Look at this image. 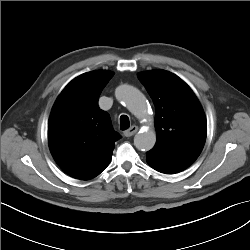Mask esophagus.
<instances>
[{
	"mask_svg": "<svg viewBox=\"0 0 250 250\" xmlns=\"http://www.w3.org/2000/svg\"><path fill=\"white\" fill-rule=\"evenodd\" d=\"M137 131H138V126L133 125V126H131L129 129H127V130L124 132V135H125L126 137H131V136H133Z\"/></svg>",
	"mask_w": 250,
	"mask_h": 250,
	"instance_id": "obj_1",
	"label": "esophagus"
}]
</instances>
